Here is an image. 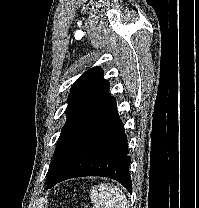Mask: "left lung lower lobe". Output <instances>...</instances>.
Wrapping results in <instances>:
<instances>
[{
    "mask_svg": "<svg viewBox=\"0 0 199 208\" xmlns=\"http://www.w3.org/2000/svg\"><path fill=\"white\" fill-rule=\"evenodd\" d=\"M128 153L127 137L117 114L116 100L110 97L64 142L46 184L51 188L73 177L103 176L117 180L131 192Z\"/></svg>",
    "mask_w": 199,
    "mask_h": 208,
    "instance_id": "obj_1",
    "label": "left lung lower lobe"
}]
</instances>
